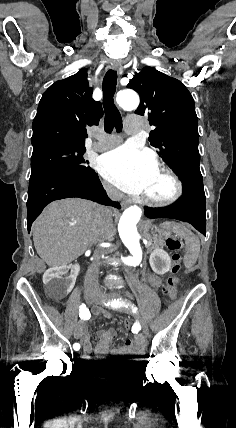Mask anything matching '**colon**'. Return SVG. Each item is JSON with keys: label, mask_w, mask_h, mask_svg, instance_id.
<instances>
[{"label": "colon", "mask_w": 236, "mask_h": 428, "mask_svg": "<svg viewBox=\"0 0 236 428\" xmlns=\"http://www.w3.org/2000/svg\"><path fill=\"white\" fill-rule=\"evenodd\" d=\"M166 246L167 248L174 252L172 256L173 265H172V275L167 279L166 285H165V299L167 302H171L175 300L176 298V287L179 283V278L177 277V273L181 269V257L178 253V251L181 249V242L178 238L174 236H169L166 239ZM126 328L131 327V323L129 321H125L124 323Z\"/></svg>", "instance_id": "5ec220e1"}]
</instances>
